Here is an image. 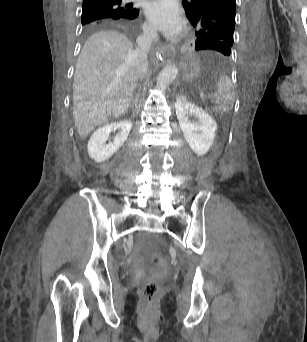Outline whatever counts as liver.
<instances>
[{"mask_svg":"<svg viewBox=\"0 0 307 342\" xmlns=\"http://www.w3.org/2000/svg\"><path fill=\"white\" fill-rule=\"evenodd\" d=\"M133 46L119 32H96L85 42L73 80V118L80 138L128 110L138 78Z\"/></svg>","mask_w":307,"mask_h":342,"instance_id":"obj_1","label":"liver"}]
</instances>
